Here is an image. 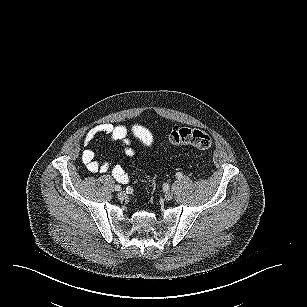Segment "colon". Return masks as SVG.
Segmentation results:
<instances>
[{"instance_id": "5ec220e1", "label": "colon", "mask_w": 307, "mask_h": 307, "mask_svg": "<svg viewBox=\"0 0 307 307\" xmlns=\"http://www.w3.org/2000/svg\"><path fill=\"white\" fill-rule=\"evenodd\" d=\"M170 145L192 146L200 150H209L212 147L211 136L199 129L177 128L167 139Z\"/></svg>"}]
</instances>
